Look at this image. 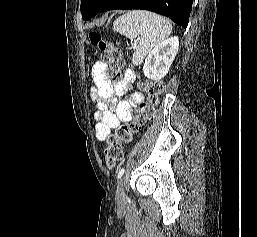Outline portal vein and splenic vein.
<instances>
[{
    "mask_svg": "<svg viewBox=\"0 0 257 237\" xmlns=\"http://www.w3.org/2000/svg\"><path fill=\"white\" fill-rule=\"evenodd\" d=\"M136 46V41H135V43L133 44V47H135Z\"/></svg>",
    "mask_w": 257,
    "mask_h": 237,
    "instance_id": "obj_1",
    "label": "portal vein and splenic vein"
}]
</instances>
